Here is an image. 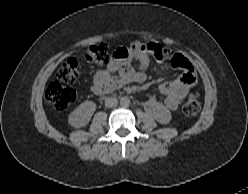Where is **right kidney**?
Segmentation results:
<instances>
[{
    "instance_id": "ca27d5eb",
    "label": "right kidney",
    "mask_w": 248,
    "mask_h": 194,
    "mask_svg": "<svg viewBox=\"0 0 248 194\" xmlns=\"http://www.w3.org/2000/svg\"><path fill=\"white\" fill-rule=\"evenodd\" d=\"M95 111L96 104L92 101H85L69 114L68 123L74 128L84 127L89 123Z\"/></svg>"
}]
</instances>
